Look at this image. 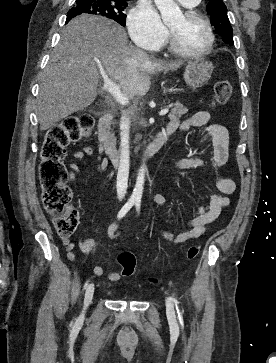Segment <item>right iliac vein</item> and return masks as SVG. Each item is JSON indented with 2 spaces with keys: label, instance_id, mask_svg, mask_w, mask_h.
I'll return each mask as SVG.
<instances>
[{
  "label": "right iliac vein",
  "instance_id": "right-iliac-vein-1",
  "mask_svg": "<svg viewBox=\"0 0 276 363\" xmlns=\"http://www.w3.org/2000/svg\"><path fill=\"white\" fill-rule=\"evenodd\" d=\"M93 294H94V284L91 283L87 286L86 291H85L84 306H83V311H82L81 316H84L88 306L90 305V303L92 301Z\"/></svg>",
  "mask_w": 276,
  "mask_h": 363
}]
</instances>
